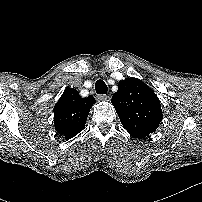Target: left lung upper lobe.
I'll list each match as a JSON object with an SVG mask.
<instances>
[{
  "instance_id": "5c2ea615",
  "label": "left lung upper lobe",
  "mask_w": 202,
  "mask_h": 202,
  "mask_svg": "<svg viewBox=\"0 0 202 202\" xmlns=\"http://www.w3.org/2000/svg\"><path fill=\"white\" fill-rule=\"evenodd\" d=\"M123 127L134 138H144L156 131L163 114L154 91L136 78L119 82L112 100Z\"/></svg>"
}]
</instances>
